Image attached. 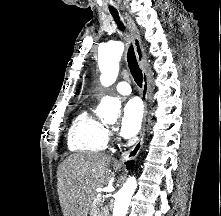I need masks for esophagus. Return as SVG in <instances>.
I'll list each match as a JSON object with an SVG mask.
<instances>
[{
	"label": "esophagus",
	"mask_w": 221,
	"mask_h": 216,
	"mask_svg": "<svg viewBox=\"0 0 221 216\" xmlns=\"http://www.w3.org/2000/svg\"><path fill=\"white\" fill-rule=\"evenodd\" d=\"M126 19H127V26L131 35V40L134 46L136 58L143 72V87L141 91V97L144 102V117H143V125H142L139 138L137 142L135 143V145L130 150L126 151L123 154L121 158L122 162L129 161V160L136 158L141 150V147L143 145V140H144V126H145L146 115H147V100L149 96V77H148V72L146 68V56L144 54L142 43H141V36L136 27L134 20L129 15L126 16Z\"/></svg>",
	"instance_id": "esophagus-1"
}]
</instances>
